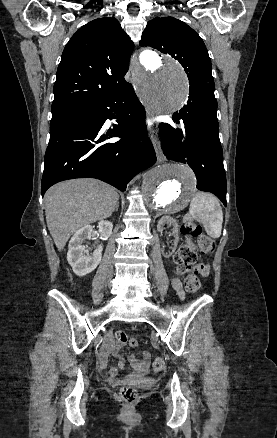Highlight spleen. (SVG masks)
<instances>
[{
    "label": "spleen",
    "mask_w": 277,
    "mask_h": 438,
    "mask_svg": "<svg viewBox=\"0 0 277 438\" xmlns=\"http://www.w3.org/2000/svg\"><path fill=\"white\" fill-rule=\"evenodd\" d=\"M189 214L197 222H202L208 236L220 238L223 224L222 208L212 194H195L191 200Z\"/></svg>",
    "instance_id": "obj_1"
}]
</instances>
